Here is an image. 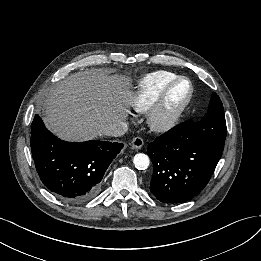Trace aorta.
Here are the masks:
<instances>
[{
	"instance_id": "aorta-1",
	"label": "aorta",
	"mask_w": 261,
	"mask_h": 261,
	"mask_svg": "<svg viewBox=\"0 0 261 261\" xmlns=\"http://www.w3.org/2000/svg\"><path fill=\"white\" fill-rule=\"evenodd\" d=\"M133 163L138 170H145L148 168L150 160L146 154L138 153L134 156Z\"/></svg>"
}]
</instances>
